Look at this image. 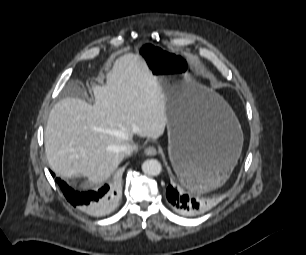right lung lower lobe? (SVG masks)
Here are the masks:
<instances>
[{
    "instance_id": "1",
    "label": "right lung lower lobe",
    "mask_w": 306,
    "mask_h": 255,
    "mask_svg": "<svg viewBox=\"0 0 306 255\" xmlns=\"http://www.w3.org/2000/svg\"><path fill=\"white\" fill-rule=\"evenodd\" d=\"M54 176V173L51 172ZM65 198L79 210L93 216H101L109 212L118 200L117 187L105 185L96 191L78 192L64 181L56 178Z\"/></svg>"
}]
</instances>
